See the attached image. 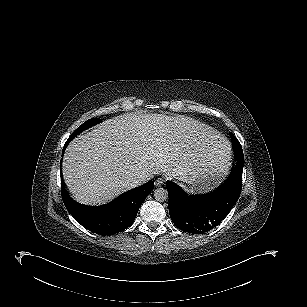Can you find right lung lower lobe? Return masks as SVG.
I'll return each instance as SVG.
<instances>
[{"instance_id": "98d812e1", "label": "right lung lower lobe", "mask_w": 307, "mask_h": 307, "mask_svg": "<svg viewBox=\"0 0 307 307\" xmlns=\"http://www.w3.org/2000/svg\"><path fill=\"white\" fill-rule=\"evenodd\" d=\"M68 144L65 143L63 153ZM153 187L154 181H149L123 193L108 204L93 207L74 201L61 178L62 198L67 210L82 226L99 235H113L128 228L134 222L142 202Z\"/></svg>"}]
</instances>
